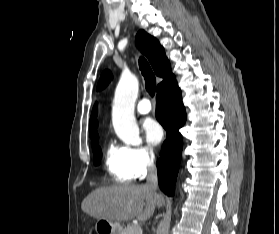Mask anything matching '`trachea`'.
I'll return each mask as SVG.
<instances>
[{"instance_id": "1", "label": "trachea", "mask_w": 279, "mask_h": 234, "mask_svg": "<svg viewBox=\"0 0 279 234\" xmlns=\"http://www.w3.org/2000/svg\"><path fill=\"white\" fill-rule=\"evenodd\" d=\"M139 66H140V70L145 79L146 90L151 96H154L155 90H156L155 76H154L149 64L147 63V61L144 58L139 59Z\"/></svg>"}]
</instances>
